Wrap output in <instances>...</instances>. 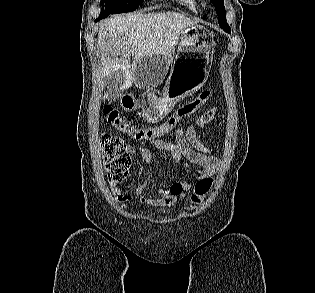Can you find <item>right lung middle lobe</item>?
<instances>
[{
    "mask_svg": "<svg viewBox=\"0 0 315 293\" xmlns=\"http://www.w3.org/2000/svg\"><path fill=\"white\" fill-rule=\"evenodd\" d=\"M144 0H101L100 15L131 12L143 3Z\"/></svg>",
    "mask_w": 315,
    "mask_h": 293,
    "instance_id": "obj_1",
    "label": "right lung middle lobe"
}]
</instances>
